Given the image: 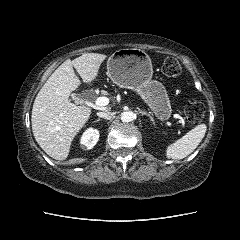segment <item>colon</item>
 I'll return each mask as SVG.
<instances>
[{
    "instance_id": "1",
    "label": "colon",
    "mask_w": 240,
    "mask_h": 240,
    "mask_svg": "<svg viewBox=\"0 0 240 240\" xmlns=\"http://www.w3.org/2000/svg\"><path fill=\"white\" fill-rule=\"evenodd\" d=\"M162 73L167 77H176L181 73V65L175 58H166L162 64ZM183 112L189 123L197 124L204 116L205 106L202 101L191 99L185 104Z\"/></svg>"
}]
</instances>
